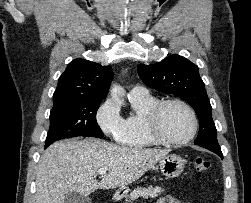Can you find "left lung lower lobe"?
Wrapping results in <instances>:
<instances>
[{
    "label": "left lung lower lobe",
    "instance_id": "left-lung-lower-lobe-1",
    "mask_svg": "<svg viewBox=\"0 0 251 203\" xmlns=\"http://www.w3.org/2000/svg\"><path fill=\"white\" fill-rule=\"evenodd\" d=\"M211 151L214 152V153H216L217 155H219L221 158H223V154L221 152V149L220 150L213 149Z\"/></svg>",
    "mask_w": 251,
    "mask_h": 203
}]
</instances>
